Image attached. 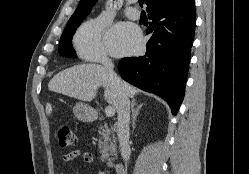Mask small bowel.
<instances>
[{
	"label": "small bowel",
	"instance_id": "obj_1",
	"mask_svg": "<svg viewBox=\"0 0 249 174\" xmlns=\"http://www.w3.org/2000/svg\"><path fill=\"white\" fill-rule=\"evenodd\" d=\"M80 156L88 164H91L94 162V158L92 154L88 152L82 153L79 149H74L70 151L69 153H66L65 155H63L62 160L64 163L69 164L70 162H72L73 160H75L76 158ZM98 174H106V172L100 171L98 172Z\"/></svg>",
	"mask_w": 249,
	"mask_h": 174
}]
</instances>
